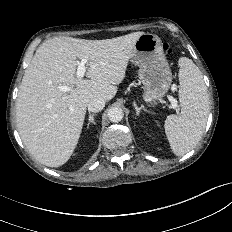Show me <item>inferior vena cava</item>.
<instances>
[{
	"label": "inferior vena cava",
	"instance_id": "602c4592",
	"mask_svg": "<svg viewBox=\"0 0 232 232\" xmlns=\"http://www.w3.org/2000/svg\"><path fill=\"white\" fill-rule=\"evenodd\" d=\"M89 112H99L105 107V100L101 97H95L87 105Z\"/></svg>",
	"mask_w": 232,
	"mask_h": 232
}]
</instances>
